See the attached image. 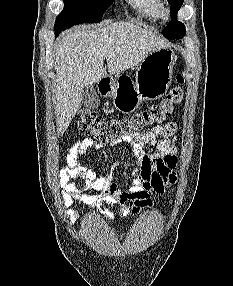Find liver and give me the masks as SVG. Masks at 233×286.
<instances>
[{
    "label": "liver",
    "instance_id": "1",
    "mask_svg": "<svg viewBox=\"0 0 233 286\" xmlns=\"http://www.w3.org/2000/svg\"><path fill=\"white\" fill-rule=\"evenodd\" d=\"M168 47L164 40L130 22L90 29L77 26L62 35L55 53L56 114L62 135L82 104L84 88L139 65L150 53Z\"/></svg>",
    "mask_w": 233,
    "mask_h": 286
}]
</instances>
